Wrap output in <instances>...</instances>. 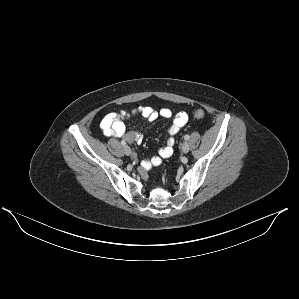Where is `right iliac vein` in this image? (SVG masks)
<instances>
[{
  "label": "right iliac vein",
  "instance_id": "1",
  "mask_svg": "<svg viewBox=\"0 0 299 299\" xmlns=\"http://www.w3.org/2000/svg\"><path fill=\"white\" fill-rule=\"evenodd\" d=\"M124 152L128 156H130L132 154V151H131L130 147H128V146L124 147Z\"/></svg>",
  "mask_w": 299,
  "mask_h": 299
}]
</instances>
